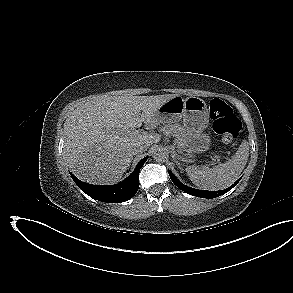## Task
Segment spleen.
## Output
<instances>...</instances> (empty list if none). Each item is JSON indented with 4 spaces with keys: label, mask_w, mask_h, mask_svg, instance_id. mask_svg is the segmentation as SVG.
Returning <instances> with one entry per match:
<instances>
[{
    "label": "spleen",
    "mask_w": 293,
    "mask_h": 293,
    "mask_svg": "<svg viewBox=\"0 0 293 293\" xmlns=\"http://www.w3.org/2000/svg\"><path fill=\"white\" fill-rule=\"evenodd\" d=\"M249 157V144L243 140L237 152L227 162L214 166L186 168L189 179L204 190H222L232 185L246 166Z\"/></svg>",
    "instance_id": "1"
}]
</instances>
